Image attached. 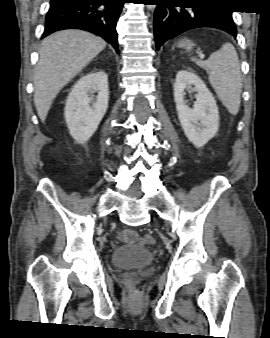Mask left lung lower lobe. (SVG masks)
<instances>
[{
  "label": "left lung lower lobe",
  "mask_w": 270,
  "mask_h": 338,
  "mask_svg": "<svg viewBox=\"0 0 270 338\" xmlns=\"http://www.w3.org/2000/svg\"><path fill=\"white\" fill-rule=\"evenodd\" d=\"M151 1L157 5L154 14V36L157 49L166 40L200 27L218 28L236 38L237 30L232 19L233 10L225 7L224 0Z\"/></svg>",
  "instance_id": "0a47b994"
}]
</instances>
